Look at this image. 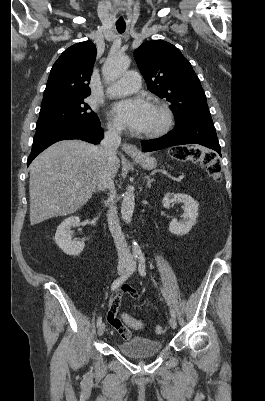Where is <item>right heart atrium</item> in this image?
Masks as SVG:
<instances>
[{"label": "right heart atrium", "instance_id": "obj_1", "mask_svg": "<svg viewBox=\"0 0 265 401\" xmlns=\"http://www.w3.org/2000/svg\"><path fill=\"white\" fill-rule=\"evenodd\" d=\"M108 131L111 134H118V133H120L122 131V129H121L120 126H118L115 123H109L108 124Z\"/></svg>", "mask_w": 265, "mask_h": 401}]
</instances>
